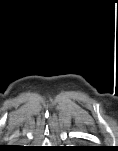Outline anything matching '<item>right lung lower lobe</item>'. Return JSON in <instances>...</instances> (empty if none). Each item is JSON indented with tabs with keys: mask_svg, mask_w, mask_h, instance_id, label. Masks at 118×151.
I'll use <instances>...</instances> for the list:
<instances>
[{
	"mask_svg": "<svg viewBox=\"0 0 118 151\" xmlns=\"http://www.w3.org/2000/svg\"><path fill=\"white\" fill-rule=\"evenodd\" d=\"M22 147H15V146H12V147H7L5 148L4 150H21Z\"/></svg>",
	"mask_w": 118,
	"mask_h": 151,
	"instance_id": "obj_1",
	"label": "right lung lower lobe"
}]
</instances>
